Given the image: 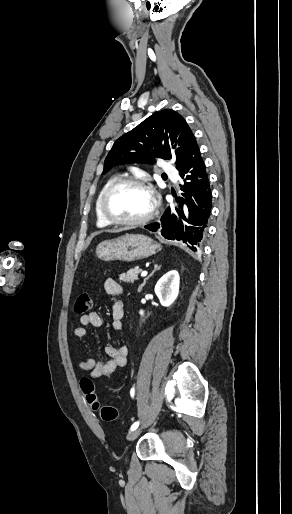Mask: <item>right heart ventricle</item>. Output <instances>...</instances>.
Masks as SVG:
<instances>
[{
  "label": "right heart ventricle",
  "mask_w": 292,
  "mask_h": 514,
  "mask_svg": "<svg viewBox=\"0 0 292 514\" xmlns=\"http://www.w3.org/2000/svg\"><path fill=\"white\" fill-rule=\"evenodd\" d=\"M114 180H116V177H113V178H110L104 185L103 187L99 190V192L97 193L96 197H95V201H94V212H95V219H96V224L98 227H101V228H104V227H107L110 225V223L101 215L100 211H99V199H100V196L103 192V190L111 183L113 182Z\"/></svg>",
  "instance_id": "right-heart-ventricle-1"
}]
</instances>
